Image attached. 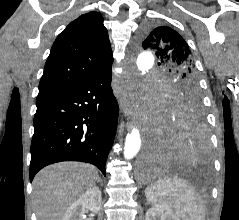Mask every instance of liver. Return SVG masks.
<instances>
[{"label": "liver", "mask_w": 239, "mask_h": 220, "mask_svg": "<svg viewBox=\"0 0 239 220\" xmlns=\"http://www.w3.org/2000/svg\"><path fill=\"white\" fill-rule=\"evenodd\" d=\"M98 178L94 166L78 162H61L42 169L33 181L38 220H63L70 205Z\"/></svg>", "instance_id": "obj_1"}]
</instances>
